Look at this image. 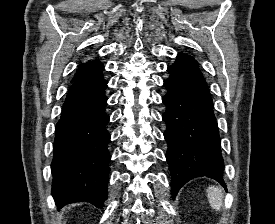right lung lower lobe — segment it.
<instances>
[{
  "instance_id": "right-lung-lower-lobe-1",
  "label": "right lung lower lobe",
  "mask_w": 275,
  "mask_h": 224,
  "mask_svg": "<svg viewBox=\"0 0 275 224\" xmlns=\"http://www.w3.org/2000/svg\"><path fill=\"white\" fill-rule=\"evenodd\" d=\"M107 81L102 74L70 87L55 128L52 196L59 207L90 202L103 207L111 156L105 113Z\"/></svg>"
}]
</instances>
